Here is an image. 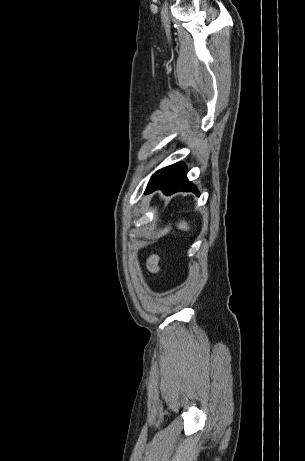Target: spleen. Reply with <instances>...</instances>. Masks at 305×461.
<instances>
[{
	"mask_svg": "<svg viewBox=\"0 0 305 461\" xmlns=\"http://www.w3.org/2000/svg\"><path fill=\"white\" fill-rule=\"evenodd\" d=\"M177 227L180 230H184V231H187L189 229V226H188L187 222H185L184 220L180 221V223L177 225Z\"/></svg>",
	"mask_w": 305,
	"mask_h": 461,
	"instance_id": "obj_1",
	"label": "spleen"
}]
</instances>
